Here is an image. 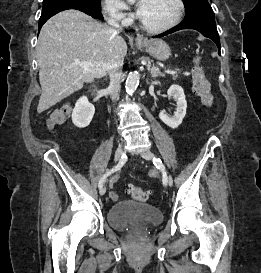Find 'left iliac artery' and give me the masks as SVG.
<instances>
[{"label": "left iliac artery", "instance_id": "1", "mask_svg": "<svg viewBox=\"0 0 261 273\" xmlns=\"http://www.w3.org/2000/svg\"><path fill=\"white\" fill-rule=\"evenodd\" d=\"M153 163L154 165L161 170L162 172V175H163V184L166 185V182H167V174H166V170H165V167L162 163V161L160 159H157V158H153ZM172 183H173V180H172Z\"/></svg>", "mask_w": 261, "mask_h": 273}]
</instances>
